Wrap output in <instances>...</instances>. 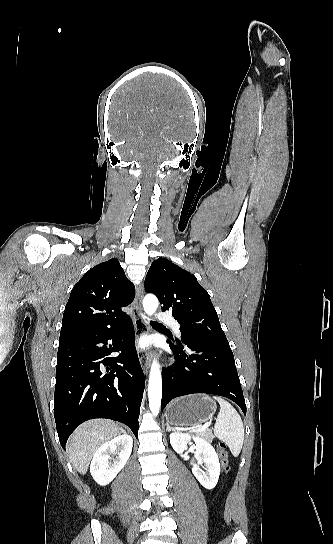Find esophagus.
Masks as SVG:
<instances>
[{
  "label": "esophagus",
  "instance_id": "obj_1",
  "mask_svg": "<svg viewBox=\"0 0 333 544\" xmlns=\"http://www.w3.org/2000/svg\"><path fill=\"white\" fill-rule=\"evenodd\" d=\"M144 293V287L141 284L136 292L134 300V315L132 317L133 325L135 332L138 335L143 334L147 331V324L144 320L143 311H142V298ZM138 358L144 372L148 373L150 367V359L146 353L138 350Z\"/></svg>",
  "mask_w": 333,
  "mask_h": 544
}]
</instances>
